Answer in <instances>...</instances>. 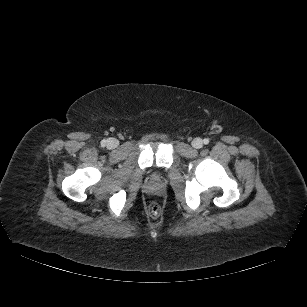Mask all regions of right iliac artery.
<instances>
[{
    "label": "right iliac artery",
    "mask_w": 307,
    "mask_h": 307,
    "mask_svg": "<svg viewBox=\"0 0 307 307\" xmlns=\"http://www.w3.org/2000/svg\"><path fill=\"white\" fill-rule=\"evenodd\" d=\"M106 144H107V141H106V140H102V141H101V145H102V146H105Z\"/></svg>",
    "instance_id": "82829eb1"
}]
</instances>
